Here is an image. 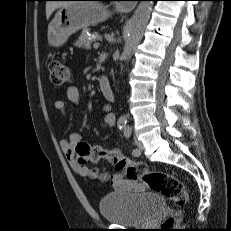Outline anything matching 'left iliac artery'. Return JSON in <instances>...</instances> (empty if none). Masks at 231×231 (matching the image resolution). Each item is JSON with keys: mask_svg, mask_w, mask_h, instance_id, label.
Here are the masks:
<instances>
[{"mask_svg": "<svg viewBox=\"0 0 231 231\" xmlns=\"http://www.w3.org/2000/svg\"><path fill=\"white\" fill-rule=\"evenodd\" d=\"M131 128L130 127H126L125 129H124V136L127 138V139H129L130 138V136H131ZM132 155H134V156H138V155H140V151L138 150V149H134L133 150V152H132Z\"/></svg>", "mask_w": 231, "mask_h": 231, "instance_id": "44dca946", "label": "left iliac artery"}]
</instances>
